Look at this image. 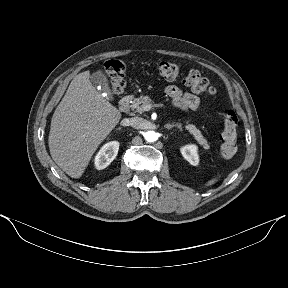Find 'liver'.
<instances>
[{"label":"liver","instance_id":"liver-1","mask_svg":"<svg viewBox=\"0 0 288 288\" xmlns=\"http://www.w3.org/2000/svg\"><path fill=\"white\" fill-rule=\"evenodd\" d=\"M120 119V111L91 83L89 71L79 73L51 119L48 144L52 159L70 177H81Z\"/></svg>","mask_w":288,"mask_h":288}]
</instances>
